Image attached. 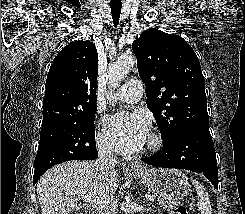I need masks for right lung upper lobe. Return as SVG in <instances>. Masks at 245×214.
I'll list each match as a JSON object with an SVG mask.
<instances>
[{"instance_id":"cb5924a9","label":"right lung upper lobe","mask_w":245,"mask_h":214,"mask_svg":"<svg viewBox=\"0 0 245 214\" xmlns=\"http://www.w3.org/2000/svg\"><path fill=\"white\" fill-rule=\"evenodd\" d=\"M98 54L90 41L66 45L46 80L41 133L75 123L96 110Z\"/></svg>"}]
</instances>
